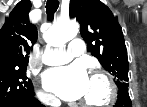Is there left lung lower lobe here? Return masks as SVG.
<instances>
[{
	"mask_svg": "<svg viewBox=\"0 0 147 107\" xmlns=\"http://www.w3.org/2000/svg\"><path fill=\"white\" fill-rule=\"evenodd\" d=\"M114 107H132V102L128 93V86H123L119 88L118 99Z\"/></svg>",
	"mask_w": 147,
	"mask_h": 107,
	"instance_id": "0a47b994",
	"label": "left lung lower lobe"
}]
</instances>
